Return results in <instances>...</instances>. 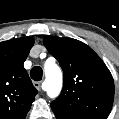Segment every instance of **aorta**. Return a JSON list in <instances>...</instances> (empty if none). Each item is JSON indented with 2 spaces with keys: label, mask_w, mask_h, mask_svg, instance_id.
Returning a JSON list of instances; mask_svg holds the SVG:
<instances>
[{
  "label": "aorta",
  "mask_w": 119,
  "mask_h": 119,
  "mask_svg": "<svg viewBox=\"0 0 119 119\" xmlns=\"http://www.w3.org/2000/svg\"><path fill=\"white\" fill-rule=\"evenodd\" d=\"M45 90L49 97L55 98L62 88V72L55 63H46L45 67Z\"/></svg>",
  "instance_id": "obj_1"
}]
</instances>
